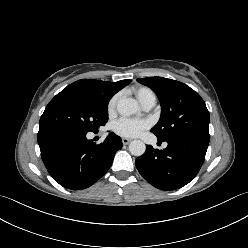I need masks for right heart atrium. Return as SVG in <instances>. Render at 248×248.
I'll return each mask as SVG.
<instances>
[{
	"label": "right heart atrium",
	"instance_id": "obj_1",
	"mask_svg": "<svg viewBox=\"0 0 248 248\" xmlns=\"http://www.w3.org/2000/svg\"><path fill=\"white\" fill-rule=\"evenodd\" d=\"M119 99V95L116 94L114 95L108 102L107 104V111L109 115H113L116 109V104Z\"/></svg>",
	"mask_w": 248,
	"mask_h": 248
}]
</instances>
